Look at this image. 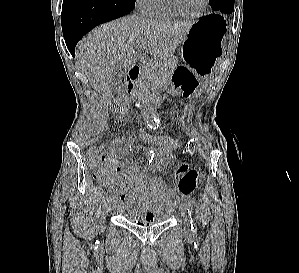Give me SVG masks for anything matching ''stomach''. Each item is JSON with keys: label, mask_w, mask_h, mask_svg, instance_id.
Listing matches in <instances>:
<instances>
[{"label": "stomach", "mask_w": 299, "mask_h": 273, "mask_svg": "<svg viewBox=\"0 0 299 273\" xmlns=\"http://www.w3.org/2000/svg\"><path fill=\"white\" fill-rule=\"evenodd\" d=\"M226 20L220 14L206 15L196 21L183 40L184 64L174 67V75L167 78V90L182 94L192 101L202 85V76L218 74L217 62L225 43Z\"/></svg>", "instance_id": "0dacf381"}]
</instances>
